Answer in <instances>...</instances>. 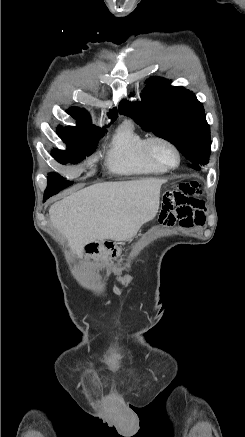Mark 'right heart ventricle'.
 <instances>
[{
    "mask_svg": "<svg viewBox=\"0 0 245 437\" xmlns=\"http://www.w3.org/2000/svg\"><path fill=\"white\" fill-rule=\"evenodd\" d=\"M146 137L126 120L116 129L107 154V165L124 175L162 174L165 168L150 160L144 151Z\"/></svg>",
    "mask_w": 245,
    "mask_h": 437,
    "instance_id": "1",
    "label": "right heart ventricle"
}]
</instances>
